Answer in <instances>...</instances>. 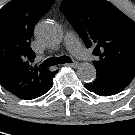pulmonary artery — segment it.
<instances>
[{
    "label": "pulmonary artery",
    "mask_w": 135,
    "mask_h": 135,
    "mask_svg": "<svg viewBox=\"0 0 135 135\" xmlns=\"http://www.w3.org/2000/svg\"><path fill=\"white\" fill-rule=\"evenodd\" d=\"M65 43L70 52L73 53L77 58L87 61L93 60L94 56L82 47L78 38L72 31L66 33Z\"/></svg>",
    "instance_id": "obj_1"
}]
</instances>
